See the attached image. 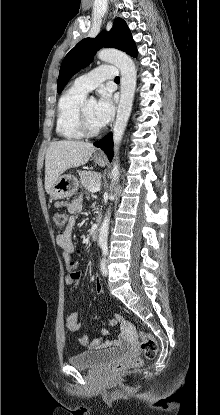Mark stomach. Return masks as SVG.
<instances>
[{
	"label": "stomach",
	"mask_w": 220,
	"mask_h": 415,
	"mask_svg": "<svg viewBox=\"0 0 220 415\" xmlns=\"http://www.w3.org/2000/svg\"><path fill=\"white\" fill-rule=\"evenodd\" d=\"M93 160L100 166H104L106 161L105 158L100 156H94ZM79 189L78 179L71 174L60 177L50 189V196L53 199H63L74 195Z\"/></svg>",
	"instance_id": "obj_1"
}]
</instances>
